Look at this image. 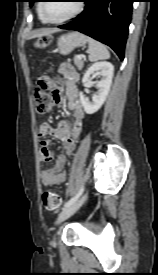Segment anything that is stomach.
<instances>
[{
	"instance_id": "1",
	"label": "stomach",
	"mask_w": 158,
	"mask_h": 275,
	"mask_svg": "<svg viewBox=\"0 0 158 275\" xmlns=\"http://www.w3.org/2000/svg\"><path fill=\"white\" fill-rule=\"evenodd\" d=\"M87 39L85 35L77 31L69 32L61 35L57 41V50L62 55H68L76 47L85 45Z\"/></svg>"
}]
</instances>
